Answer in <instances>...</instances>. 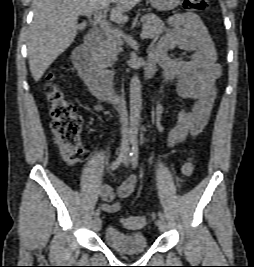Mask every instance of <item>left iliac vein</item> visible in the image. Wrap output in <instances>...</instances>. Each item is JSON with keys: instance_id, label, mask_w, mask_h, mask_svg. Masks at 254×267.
Wrapping results in <instances>:
<instances>
[{"instance_id": "left-iliac-vein-1", "label": "left iliac vein", "mask_w": 254, "mask_h": 267, "mask_svg": "<svg viewBox=\"0 0 254 267\" xmlns=\"http://www.w3.org/2000/svg\"><path fill=\"white\" fill-rule=\"evenodd\" d=\"M129 160H130V157H129V154L127 152V150L124 152V155H123V163L127 166L128 163H129ZM156 224L159 228V230L161 232H165L167 230V224L165 222L164 219L162 218H159L157 221H156Z\"/></svg>"}]
</instances>
